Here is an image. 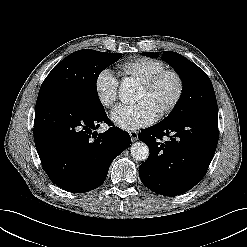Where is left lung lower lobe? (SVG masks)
Masks as SVG:
<instances>
[{"label":"left lung lower lobe","instance_id":"1","mask_svg":"<svg viewBox=\"0 0 247 247\" xmlns=\"http://www.w3.org/2000/svg\"><path fill=\"white\" fill-rule=\"evenodd\" d=\"M168 137V138H167ZM150 150L139 166L142 183L164 196L193 188L206 174L218 143V113H197L141 130Z\"/></svg>","mask_w":247,"mask_h":247}]
</instances>
